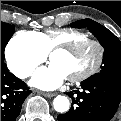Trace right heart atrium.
<instances>
[{
    "instance_id": "1",
    "label": "right heart atrium",
    "mask_w": 121,
    "mask_h": 121,
    "mask_svg": "<svg viewBox=\"0 0 121 121\" xmlns=\"http://www.w3.org/2000/svg\"><path fill=\"white\" fill-rule=\"evenodd\" d=\"M5 56L11 71L20 77L29 75L45 59L38 42L24 33H17L10 39Z\"/></svg>"
}]
</instances>
